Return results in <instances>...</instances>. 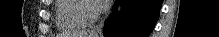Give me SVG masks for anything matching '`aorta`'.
<instances>
[{
	"mask_svg": "<svg viewBox=\"0 0 219 37\" xmlns=\"http://www.w3.org/2000/svg\"><path fill=\"white\" fill-rule=\"evenodd\" d=\"M120 9H121V7L119 6V7H118V10H120Z\"/></svg>",
	"mask_w": 219,
	"mask_h": 37,
	"instance_id": "obj_1",
	"label": "aorta"
}]
</instances>
